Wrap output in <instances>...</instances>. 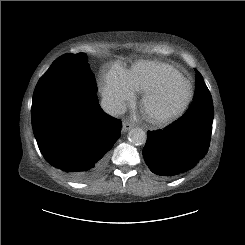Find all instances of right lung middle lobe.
<instances>
[{
    "label": "right lung middle lobe",
    "instance_id": "obj_1",
    "mask_svg": "<svg viewBox=\"0 0 245 245\" xmlns=\"http://www.w3.org/2000/svg\"><path fill=\"white\" fill-rule=\"evenodd\" d=\"M72 95H96V81L84 53L65 54L51 65L35 87L32 111L54 106L60 98Z\"/></svg>",
    "mask_w": 245,
    "mask_h": 245
}]
</instances>
